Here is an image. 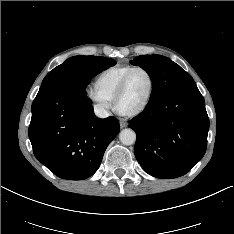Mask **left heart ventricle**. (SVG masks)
<instances>
[{"mask_svg":"<svg viewBox=\"0 0 234 234\" xmlns=\"http://www.w3.org/2000/svg\"><path fill=\"white\" fill-rule=\"evenodd\" d=\"M149 84L148 75L144 71H136L131 76L126 91L118 101V108L125 112L138 108L147 96Z\"/></svg>","mask_w":234,"mask_h":234,"instance_id":"left-heart-ventricle-1","label":"left heart ventricle"}]
</instances>
